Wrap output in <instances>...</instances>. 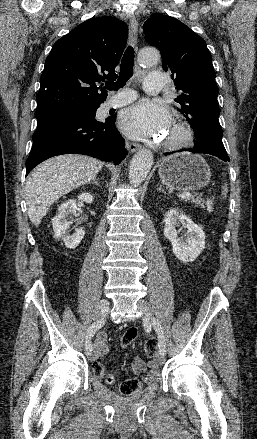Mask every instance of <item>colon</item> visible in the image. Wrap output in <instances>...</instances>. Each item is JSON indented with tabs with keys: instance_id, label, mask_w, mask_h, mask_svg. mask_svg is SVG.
Here are the masks:
<instances>
[{
	"instance_id": "colon-1",
	"label": "colon",
	"mask_w": 257,
	"mask_h": 439,
	"mask_svg": "<svg viewBox=\"0 0 257 439\" xmlns=\"http://www.w3.org/2000/svg\"><path fill=\"white\" fill-rule=\"evenodd\" d=\"M136 335H137L136 329H134V328L128 329L122 337V340H121L122 346L124 348L130 346L133 343V341L135 340ZM155 351H156V341L153 339L148 340L144 346L145 354L148 357H153L155 354ZM92 370H93L94 375L98 379H100L106 383H109V384H113L115 382L114 376L111 375L110 373H108L101 364L93 363ZM140 386H141V384L137 379L130 378V379L123 381L120 384V391L123 394H131V393L138 391L140 389Z\"/></svg>"
}]
</instances>
